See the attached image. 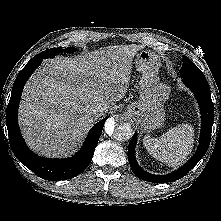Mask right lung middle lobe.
Instances as JSON below:
<instances>
[{"label":"right lung middle lobe","mask_w":221,"mask_h":221,"mask_svg":"<svg viewBox=\"0 0 221 221\" xmlns=\"http://www.w3.org/2000/svg\"><path fill=\"white\" fill-rule=\"evenodd\" d=\"M75 49L73 47H68L66 49H62V47L60 48H51L49 50L43 51L42 53L38 54L36 57H40L43 59L46 58H52L57 54H61L63 52H67V53H72Z\"/></svg>","instance_id":"1"}]
</instances>
